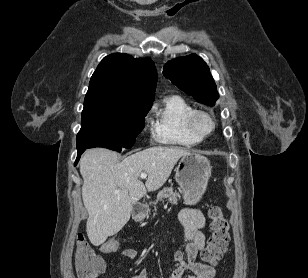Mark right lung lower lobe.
Wrapping results in <instances>:
<instances>
[{
  "instance_id": "obj_1",
  "label": "right lung lower lobe",
  "mask_w": 308,
  "mask_h": 278,
  "mask_svg": "<svg viewBox=\"0 0 308 278\" xmlns=\"http://www.w3.org/2000/svg\"><path fill=\"white\" fill-rule=\"evenodd\" d=\"M85 150H86V149H80V150H78V155H77V159H76L75 164L78 162V160L80 159L81 154H82Z\"/></svg>"
}]
</instances>
